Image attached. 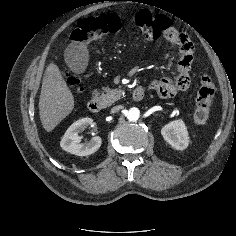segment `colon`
<instances>
[{
    "label": "colon",
    "instance_id": "5ec220e1",
    "mask_svg": "<svg viewBox=\"0 0 236 236\" xmlns=\"http://www.w3.org/2000/svg\"><path fill=\"white\" fill-rule=\"evenodd\" d=\"M122 18L117 14H101L81 19L71 34V40L80 43H89L99 40L101 37L118 32L122 26ZM134 23L139 28L141 38L145 40H157L163 38L167 41L179 43L183 34L172 27L170 20L164 15H153L146 10L138 12L134 16ZM67 81L77 92L82 91L81 80L73 73L67 74ZM187 82L178 83L179 91ZM215 88L208 75L201 77L200 87L196 94V109L194 121L198 125L207 122L214 99Z\"/></svg>",
    "mask_w": 236,
    "mask_h": 236
}]
</instances>
